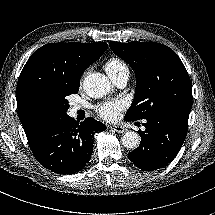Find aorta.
I'll return each instance as SVG.
<instances>
[{"label":"aorta","instance_id":"762f6f07","mask_svg":"<svg viewBox=\"0 0 215 215\" xmlns=\"http://www.w3.org/2000/svg\"><path fill=\"white\" fill-rule=\"evenodd\" d=\"M85 93L92 98H101L110 90V82L102 73H92L83 81ZM122 145L128 149H136L140 145V135L134 131H127L123 134Z\"/></svg>","mask_w":215,"mask_h":215}]
</instances>
